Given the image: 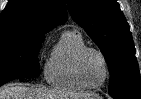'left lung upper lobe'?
Masks as SVG:
<instances>
[{"mask_svg":"<svg viewBox=\"0 0 141 99\" xmlns=\"http://www.w3.org/2000/svg\"><path fill=\"white\" fill-rule=\"evenodd\" d=\"M72 18L98 45L110 71L109 91L141 93L129 25L116 0H65Z\"/></svg>","mask_w":141,"mask_h":99,"instance_id":"5c2ea615","label":"left lung upper lobe"}]
</instances>
